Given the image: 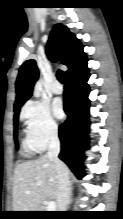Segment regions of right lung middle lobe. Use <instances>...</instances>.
Returning <instances> with one entry per match:
<instances>
[{"instance_id":"dd1d6c3e","label":"right lung middle lobe","mask_w":123,"mask_h":219,"mask_svg":"<svg viewBox=\"0 0 123 219\" xmlns=\"http://www.w3.org/2000/svg\"><path fill=\"white\" fill-rule=\"evenodd\" d=\"M18 116H19V111H16L15 114H14V137H15V141H17L16 135H17Z\"/></svg>"}]
</instances>
